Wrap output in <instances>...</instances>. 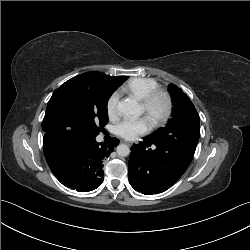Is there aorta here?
<instances>
[{
    "label": "aorta",
    "instance_id": "762f6f07",
    "mask_svg": "<svg viewBox=\"0 0 250 250\" xmlns=\"http://www.w3.org/2000/svg\"><path fill=\"white\" fill-rule=\"evenodd\" d=\"M117 108L125 115L140 116L142 113L140 105L131 99H125L119 102ZM116 151L120 157H126L130 154V148L125 144L118 145Z\"/></svg>",
    "mask_w": 250,
    "mask_h": 250
}]
</instances>
